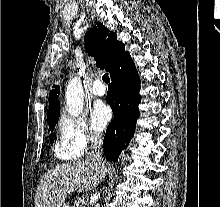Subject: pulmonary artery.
Listing matches in <instances>:
<instances>
[{"instance_id": "obj_1", "label": "pulmonary artery", "mask_w": 220, "mask_h": 207, "mask_svg": "<svg viewBox=\"0 0 220 207\" xmlns=\"http://www.w3.org/2000/svg\"><path fill=\"white\" fill-rule=\"evenodd\" d=\"M92 92L94 96L101 97L106 93V88L100 81H96L93 85Z\"/></svg>"}]
</instances>
